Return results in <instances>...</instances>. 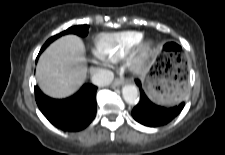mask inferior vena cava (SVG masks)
Masks as SVG:
<instances>
[{
	"label": "inferior vena cava",
	"instance_id": "obj_1",
	"mask_svg": "<svg viewBox=\"0 0 225 155\" xmlns=\"http://www.w3.org/2000/svg\"><path fill=\"white\" fill-rule=\"evenodd\" d=\"M114 79V74L110 70L101 69L98 70L93 76H92V82L94 85H97L99 87L107 86L109 85Z\"/></svg>",
	"mask_w": 225,
	"mask_h": 155
}]
</instances>
